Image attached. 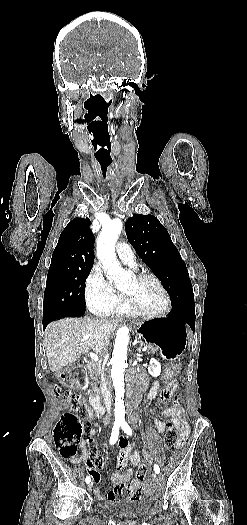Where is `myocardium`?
I'll use <instances>...</instances> for the list:
<instances>
[{
	"label": "myocardium",
	"instance_id": "1",
	"mask_svg": "<svg viewBox=\"0 0 247 525\" xmlns=\"http://www.w3.org/2000/svg\"><path fill=\"white\" fill-rule=\"evenodd\" d=\"M128 266H131V265L128 264ZM142 278L152 279L157 284V286L160 288V290L163 292V294L165 296V303H164V305L161 308L156 309V310H152V309L147 308L137 298L140 313L143 314V315L151 316V317H158V316H161V315L169 312V310L171 308V305H172L171 296H170L168 290L166 289V287L164 286V284L162 283V281L152 272H145V271H143L136 277V279H142Z\"/></svg>",
	"mask_w": 247,
	"mask_h": 525
}]
</instances>
